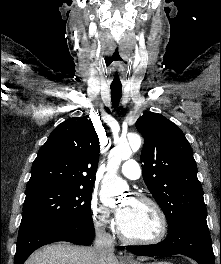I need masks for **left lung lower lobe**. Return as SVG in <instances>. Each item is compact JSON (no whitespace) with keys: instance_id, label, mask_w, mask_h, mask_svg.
<instances>
[{"instance_id":"left-lung-lower-lobe-1","label":"left lung lower lobe","mask_w":221,"mask_h":264,"mask_svg":"<svg viewBox=\"0 0 221 264\" xmlns=\"http://www.w3.org/2000/svg\"><path fill=\"white\" fill-rule=\"evenodd\" d=\"M141 256L182 254L199 264H214V253L207 223H184L169 227L167 237L160 243L146 246H127Z\"/></svg>"}]
</instances>
